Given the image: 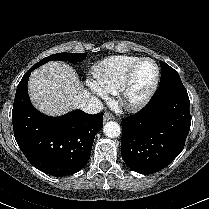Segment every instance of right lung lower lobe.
<instances>
[{"mask_svg":"<svg viewBox=\"0 0 209 209\" xmlns=\"http://www.w3.org/2000/svg\"><path fill=\"white\" fill-rule=\"evenodd\" d=\"M31 71L16 90L12 110L15 139L35 168L53 176L71 175L87 163L95 135L103 127V113L76 110L61 117L43 115L28 96Z\"/></svg>","mask_w":209,"mask_h":209,"instance_id":"1","label":"right lung lower lobe"}]
</instances>
